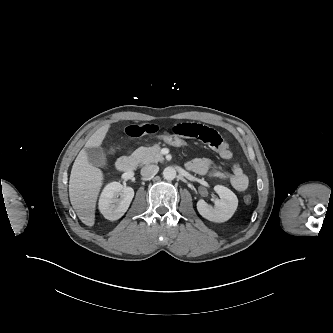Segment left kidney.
<instances>
[{
	"label": "left kidney",
	"instance_id": "1",
	"mask_svg": "<svg viewBox=\"0 0 333 333\" xmlns=\"http://www.w3.org/2000/svg\"><path fill=\"white\" fill-rule=\"evenodd\" d=\"M215 192L219 195L214 206L207 204L204 200L197 202V210L205 219L212 222H225L229 220L235 213L238 206L237 196L227 187L216 185Z\"/></svg>",
	"mask_w": 333,
	"mask_h": 333
}]
</instances>
